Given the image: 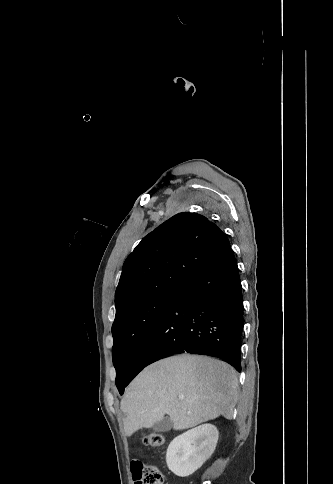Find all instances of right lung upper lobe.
I'll return each instance as SVG.
<instances>
[{
	"mask_svg": "<svg viewBox=\"0 0 333 484\" xmlns=\"http://www.w3.org/2000/svg\"><path fill=\"white\" fill-rule=\"evenodd\" d=\"M230 249L225 233L205 216L171 217L127 257L115 292V320L162 292L180 289Z\"/></svg>",
	"mask_w": 333,
	"mask_h": 484,
	"instance_id": "cb5924a9",
	"label": "right lung upper lobe"
}]
</instances>
